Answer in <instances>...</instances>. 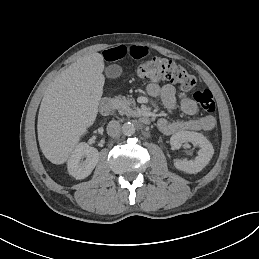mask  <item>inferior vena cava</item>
<instances>
[{
    "mask_svg": "<svg viewBox=\"0 0 259 259\" xmlns=\"http://www.w3.org/2000/svg\"><path fill=\"white\" fill-rule=\"evenodd\" d=\"M107 133L113 138H119L121 133L120 123L117 121H111L107 125Z\"/></svg>",
    "mask_w": 259,
    "mask_h": 259,
    "instance_id": "602c4592",
    "label": "inferior vena cava"
}]
</instances>
